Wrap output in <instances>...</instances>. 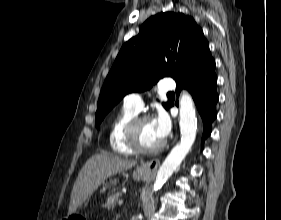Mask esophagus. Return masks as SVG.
<instances>
[{
	"label": "esophagus",
	"instance_id": "34e87169",
	"mask_svg": "<svg viewBox=\"0 0 281 220\" xmlns=\"http://www.w3.org/2000/svg\"><path fill=\"white\" fill-rule=\"evenodd\" d=\"M160 164V160L159 159H153L149 162H147L144 166V168L148 171H154L158 168Z\"/></svg>",
	"mask_w": 281,
	"mask_h": 220
}]
</instances>
